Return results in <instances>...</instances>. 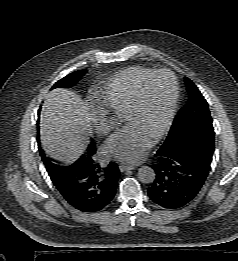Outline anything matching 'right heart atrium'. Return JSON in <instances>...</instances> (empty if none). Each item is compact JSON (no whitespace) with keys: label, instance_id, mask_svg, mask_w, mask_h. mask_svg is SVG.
Here are the masks:
<instances>
[{"label":"right heart atrium","instance_id":"right-heart-atrium-1","mask_svg":"<svg viewBox=\"0 0 238 261\" xmlns=\"http://www.w3.org/2000/svg\"><path fill=\"white\" fill-rule=\"evenodd\" d=\"M90 120L94 131L99 136L107 135L112 129L110 118L107 112L102 108H92Z\"/></svg>","mask_w":238,"mask_h":261}]
</instances>
